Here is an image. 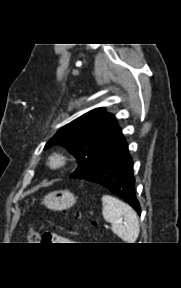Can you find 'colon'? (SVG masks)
Masks as SVG:
<instances>
[{"label":"colon","instance_id":"colon-1","mask_svg":"<svg viewBox=\"0 0 181 288\" xmlns=\"http://www.w3.org/2000/svg\"><path fill=\"white\" fill-rule=\"evenodd\" d=\"M77 217L80 216L79 213L76 214ZM92 225L95 226L96 222H92ZM50 233H40L38 230L34 229L33 227L29 228L28 230V242L30 244L34 243H41V242H50Z\"/></svg>","mask_w":181,"mask_h":288}]
</instances>
